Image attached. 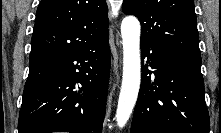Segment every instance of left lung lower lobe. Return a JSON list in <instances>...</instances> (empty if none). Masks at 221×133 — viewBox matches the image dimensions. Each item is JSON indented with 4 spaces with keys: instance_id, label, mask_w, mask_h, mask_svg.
I'll return each mask as SVG.
<instances>
[{
    "instance_id": "1",
    "label": "left lung lower lobe",
    "mask_w": 221,
    "mask_h": 133,
    "mask_svg": "<svg viewBox=\"0 0 221 133\" xmlns=\"http://www.w3.org/2000/svg\"><path fill=\"white\" fill-rule=\"evenodd\" d=\"M145 58L130 133H209L201 55L141 40Z\"/></svg>"
}]
</instances>
